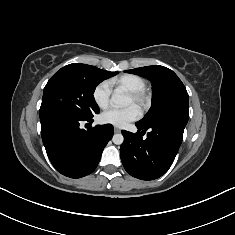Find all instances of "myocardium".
<instances>
[{
    "instance_id": "f54148a6",
    "label": "myocardium",
    "mask_w": 235,
    "mask_h": 235,
    "mask_svg": "<svg viewBox=\"0 0 235 235\" xmlns=\"http://www.w3.org/2000/svg\"><path fill=\"white\" fill-rule=\"evenodd\" d=\"M134 104L141 110L145 111L150 104L149 94L144 90L129 92Z\"/></svg>"
}]
</instances>
